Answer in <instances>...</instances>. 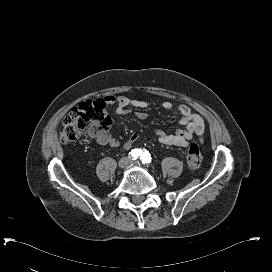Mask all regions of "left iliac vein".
Masks as SVG:
<instances>
[{"label":"left iliac vein","mask_w":272,"mask_h":272,"mask_svg":"<svg viewBox=\"0 0 272 272\" xmlns=\"http://www.w3.org/2000/svg\"><path fill=\"white\" fill-rule=\"evenodd\" d=\"M130 164H131V165H139V162L136 161V160H131V161H130Z\"/></svg>","instance_id":"left-iliac-vein-1"}]
</instances>
